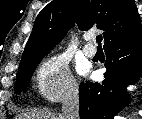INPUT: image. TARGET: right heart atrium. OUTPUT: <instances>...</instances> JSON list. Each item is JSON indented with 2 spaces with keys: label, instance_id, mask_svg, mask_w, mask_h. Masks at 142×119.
I'll return each mask as SVG.
<instances>
[{
  "label": "right heart atrium",
  "instance_id": "d8ad5b80",
  "mask_svg": "<svg viewBox=\"0 0 142 119\" xmlns=\"http://www.w3.org/2000/svg\"><path fill=\"white\" fill-rule=\"evenodd\" d=\"M35 85L39 94L52 102L74 98L78 94V85L65 57L60 54L49 56L40 64Z\"/></svg>",
  "mask_w": 142,
  "mask_h": 119
}]
</instances>
